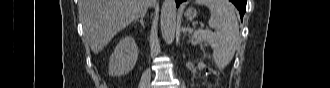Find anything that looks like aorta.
<instances>
[{
  "instance_id": "aorta-1",
  "label": "aorta",
  "mask_w": 330,
  "mask_h": 88,
  "mask_svg": "<svg viewBox=\"0 0 330 88\" xmlns=\"http://www.w3.org/2000/svg\"><path fill=\"white\" fill-rule=\"evenodd\" d=\"M161 32L166 43L170 44L176 32V2L164 0L161 8Z\"/></svg>"
}]
</instances>
